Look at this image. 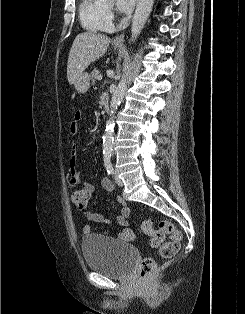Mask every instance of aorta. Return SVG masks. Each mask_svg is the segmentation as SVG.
<instances>
[{
    "label": "aorta",
    "instance_id": "aorta-1",
    "mask_svg": "<svg viewBox=\"0 0 245 314\" xmlns=\"http://www.w3.org/2000/svg\"><path fill=\"white\" fill-rule=\"evenodd\" d=\"M154 4V0H138L137 7L133 16L132 26H131V36L132 39L137 38L141 33ZM130 73V64L126 61L123 64V75L121 80L119 81L118 86L115 89V92L112 95V99L110 102V118L106 122V129L103 135V154L109 155L112 153L113 149V134H114V115L115 112L120 105L126 89L127 82Z\"/></svg>",
    "mask_w": 245,
    "mask_h": 314
}]
</instances>
